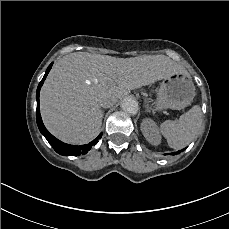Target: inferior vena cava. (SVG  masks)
Instances as JSON below:
<instances>
[{"mask_svg": "<svg viewBox=\"0 0 229 229\" xmlns=\"http://www.w3.org/2000/svg\"><path fill=\"white\" fill-rule=\"evenodd\" d=\"M101 106L104 108H107V107H111V104L108 103L107 101H104V102H102Z\"/></svg>", "mask_w": 229, "mask_h": 229, "instance_id": "1", "label": "inferior vena cava"}]
</instances>
